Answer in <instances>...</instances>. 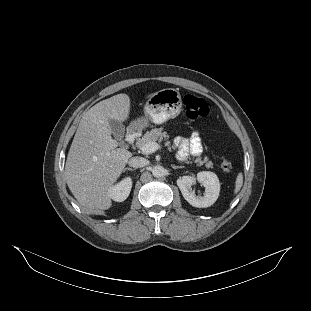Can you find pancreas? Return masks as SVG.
Masks as SVG:
<instances>
[{"mask_svg": "<svg viewBox=\"0 0 311 311\" xmlns=\"http://www.w3.org/2000/svg\"><path fill=\"white\" fill-rule=\"evenodd\" d=\"M168 138L169 135L166 131H163V127L153 128L150 131H147L141 138L136 140V147L140 149L147 143L156 141L161 142L163 140H167ZM168 146H170V143H168ZM194 162L197 166L205 165L206 168H213V163L212 161H209L208 157H204L203 159L201 157H197Z\"/></svg>", "mask_w": 311, "mask_h": 311, "instance_id": "obj_1", "label": "pancreas"}]
</instances>
